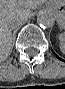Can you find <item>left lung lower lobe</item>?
I'll return each instance as SVG.
<instances>
[{"instance_id": "left-lung-lower-lobe-1", "label": "left lung lower lobe", "mask_w": 65, "mask_h": 89, "mask_svg": "<svg viewBox=\"0 0 65 89\" xmlns=\"http://www.w3.org/2000/svg\"><path fill=\"white\" fill-rule=\"evenodd\" d=\"M59 60H62L61 58H59L57 55H55ZM62 61H64V60H62Z\"/></svg>"}]
</instances>
